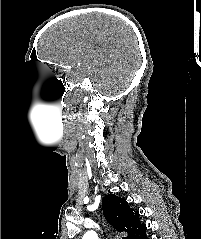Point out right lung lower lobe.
<instances>
[{
  "mask_svg": "<svg viewBox=\"0 0 201 239\" xmlns=\"http://www.w3.org/2000/svg\"><path fill=\"white\" fill-rule=\"evenodd\" d=\"M142 239H148V238H147V236L145 235V236L142 237Z\"/></svg>",
  "mask_w": 201,
  "mask_h": 239,
  "instance_id": "1",
  "label": "right lung lower lobe"
}]
</instances>
